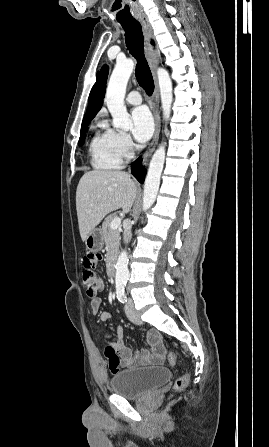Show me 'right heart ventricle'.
<instances>
[{"mask_svg":"<svg viewBox=\"0 0 269 447\" xmlns=\"http://www.w3.org/2000/svg\"><path fill=\"white\" fill-rule=\"evenodd\" d=\"M91 164L96 169H115L122 164L114 131L100 130L90 144Z\"/></svg>","mask_w":269,"mask_h":447,"instance_id":"obj_1","label":"right heart ventricle"}]
</instances>
